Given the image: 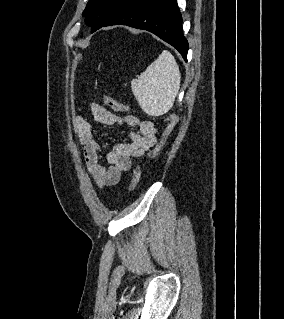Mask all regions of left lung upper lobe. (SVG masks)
Instances as JSON below:
<instances>
[{
    "instance_id": "left-lung-upper-lobe-1",
    "label": "left lung upper lobe",
    "mask_w": 284,
    "mask_h": 319,
    "mask_svg": "<svg viewBox=\"0 0 284 319\" xmlns=\"http://www.w3.org/2000/svg\"><path fill=\"white\" fill-rule=\"evenodd\" d=\"M124 0H89L83 16L87 17L88 25L93 26L91 32H95L104 26V24L115 14Z\"/></svg>"
}]
</instances>
